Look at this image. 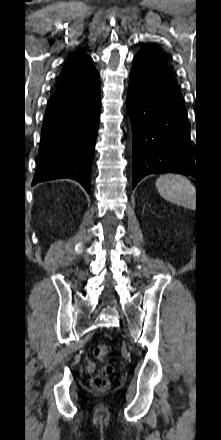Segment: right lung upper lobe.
<instances>
[{"label": "right lung upper lobe", "mask_w": 221, "mask_h": 440, "mask_svg": "<svg viewBox=\"0 0 221 440\" xmlns=\"http://www.w3.org/2000/svg\"><path fill=\"white\" fill-rule=\"evenodd\" d=\"M98 79L92 59L83 53L72 56L62 69L56 89L89 84Z\"/></svg>", "instance_id": "1"}]
</instances>
